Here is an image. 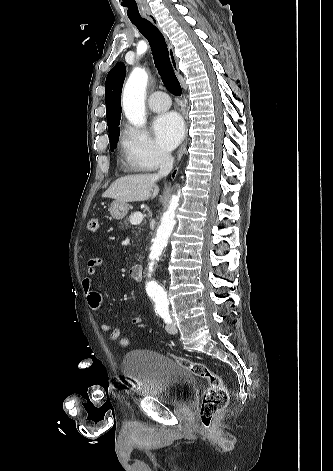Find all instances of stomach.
I'll list each match as a JSON object with an SVG mask.
<instances>
[{"mask_svg":"<svg viewBox=\"0 0 333 471\" xmlns=\"http://www.w3.org/2000/svg\"><path fill=\"white\" fill-rule=\"evenodd\" d=\"M129 210V205L127 202H121V201H113L110 208H109V213L110 215L117 220H120L125 217Z\"/></svg>","mask_w":333,"mask_h":471,"instance_id":"stomach-1","label":"stomach"}]
</instances>
